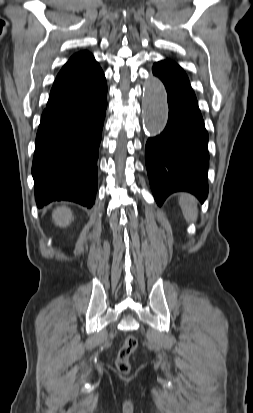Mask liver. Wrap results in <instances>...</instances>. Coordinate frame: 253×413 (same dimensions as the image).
Segmentation results:
<instances>
[{
	"instance_id": "obj_1",
	"label": "liver",
	"mask_w": 253,
	"mask_h": 413,
	"mask_svg": "<svg viewBox=\"0 0 253 413\" xmlns=\"http://www.w3.org/2000/svg\"><path fill=\"white\" fill-rule=\"evenodd\" d=\"M53 220L56 225L66 227L73 220V214L69 208L60 207L53 212Z\"/></svg>"
}]
</instances>
